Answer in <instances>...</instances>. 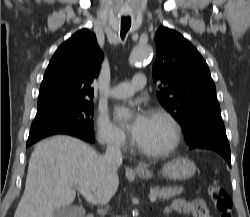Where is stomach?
I'll list each match as a JSON object with an SVG mask.
<instances>
[{
  "label": "stomach",
  "mask_w": 250,
  "mask_h": 217,
  "mask_svg": "<svg viewBox=\"0 0 250 217\" xmlns=\"http://www.w3.org/2000/svg\"><path fill=\"white\" fill-rule=\"evenodd\" d=\"M196 171L195 164L187 158H177L166 163L162 168V175L173 180H187L191 178ZM152 172L138 173L143 179H150Z\"/></svg>",
  "instance_id": "stomach-1"
}]
</instances>
